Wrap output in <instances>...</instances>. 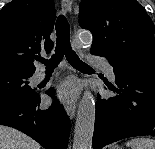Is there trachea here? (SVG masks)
<instances>
[{
    "instance_id": "1",
    "label": "trachea",
    "mask_w": 155,
    "mask_h": 149,
    "mask_svg": "<svg viewBox=\"0 0 155 149\" xmlns=\"http://www.w3.org/2000/svg\"><path fill=\"white\" fill-rule=\"evenodd\" d=\"M56 36L55 54H53L49 60H45L43 58L38 59L45 64L46 70H54L62 61L64 55L70 65L74 68L92 69L89 65L82 62L73 51L70 44V26L66 17L62 14L58 16L56 21Z\"/></svg>"
}]
</instances>
